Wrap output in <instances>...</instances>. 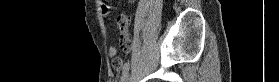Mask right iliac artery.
<instances>
[{"instance_id":"82829eb1","label":"right iliac artery","mask_w":279,"mask_h":82,"mask_svg":"<svg viewBox=\"0 0 279 82\" xmlns=\"http://www.w3.org/2000/svg\"><path fill=\"white\" fill-rule=\"evenodd\" d=\"M129 68H130V63L127 62L124 64L123 66V69H122V76H121V81L120 82H124L126 77H127V74L129 72Z\"/></svg>"}]
</instances>
